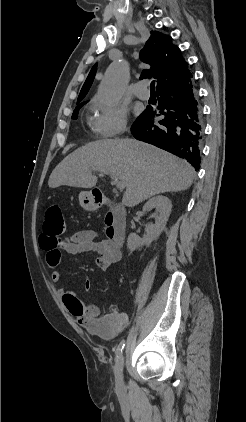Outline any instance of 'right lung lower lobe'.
<instances>
[{
	"instance_id": "right-lung-lower-lobe-1",
	"label": "right lung lower lobe",
	"mask_w": 246,
	"mask_h": 422,
	"mask_svg": "<svg viewBox=\"0 0 246 422\" xmlns=\"http://www.w3.org/2000/svg\"><path fill=\"white\" fill-rule=\"evenodd\" d=\"M157 95V110L146 108L131 127L133 136L186 159L198 170L203 130L192 74L160 88ZM161 115L163 119L154 124Z\"/></svg>"
}]
</instances>
